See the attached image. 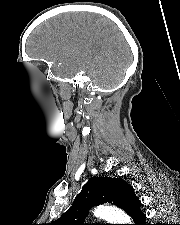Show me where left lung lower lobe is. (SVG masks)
<instances>
[{
    "instance_id": "1",
    "label": "left lung lower lobe",
    "mask_w": 180,
    "mask_h": 225,
    "mask_svg": "<svg viewBox=\"0 0 180 225\" xmlns=\"http://www.w3.org/2000/svg\"><path fill=\"white\" fill-rule=\"evenodd\" d=\"M134 224L133 225H147L145 222L146 215L141 211L137 210L131 215Z\"/></svg>"
}]
</instances>
